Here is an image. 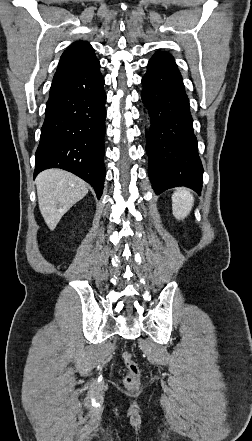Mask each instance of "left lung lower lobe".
Instances as JSON below:
<instances>
[{
	"label": "left lung lower lobe",
	"mask_w": 252,
	"mask_h": 441,
	"mask_svg": "<svg viewBox=\"0 0 252 441\" xmlns=\"http://www.w3.org/2000/svg\"><path fill=\"white\" fill-rule=\"evenodd\" d=\"M141 97L151 117L146 133L148 172L156 194L176 186L201 192L203 167L193 132L189 99L174 58L158 51L142 78Z\"/></svg>",
	"instance_id": "obj_1"
}]
</instances>
